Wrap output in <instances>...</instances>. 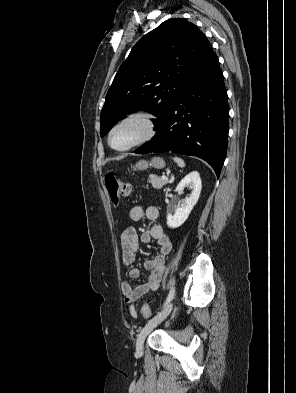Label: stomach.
<instances>
[{
    "label": "stomach",
    "mask_w": 296,
    "mask_h": 393,
    "mask_svg": "<svg viewBox=\"0 0 296 393\" xmlns=\"http://www.w3.org/2000/svg\"><path fill=\"white\" fill-rule=\"evenodd\" d=\"M148 167L162 169L165 167V161L160 157H154L150 162L146 160H140L134 166V168L138 170H146Z\"/></svg>",
    "instance_id": "0dacf381"
}]
</instances>
